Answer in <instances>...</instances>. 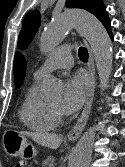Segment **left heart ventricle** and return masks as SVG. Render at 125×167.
<instances>
[{"label": "left heart ventricle", "instance_id": "1", "mask_svg": "<svg viewBox=\"0 0 125 167\" xmlns=\"http://www.w3.org/2000/svg\"><path fill=\"white\" fill-rule=\"evenodd\" d=\"M60 103H61L60 97H56V98L48 101L49 105H51L54 108H58V109H59Z\"/></svg>", "mask_w": 125, "mask_h": 167}]
</instances>
